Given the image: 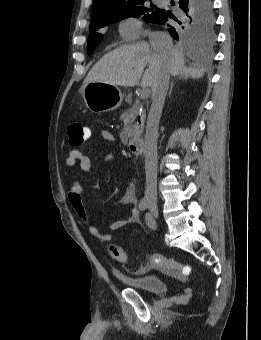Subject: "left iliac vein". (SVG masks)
I'll return each instance as SVG.
<instances>
[{
  "mask_svg": "<svg viewBox=\"0 0 261 340\" xmlns=\"http://www.w3.org/2000/svg\"><path fill=\"white\" fill-rule=\"evenodd\" d=\"M154 217H158V211H152ZM152 228H155L156 227V223H155V220L153 219L152 221V225H151Z\"/></svg>",
  "mask_w": 261,
  "mask_h": 340,
  "instance_id": "obj_1",
  "label": "left iliac vein"
}]
</instances>
